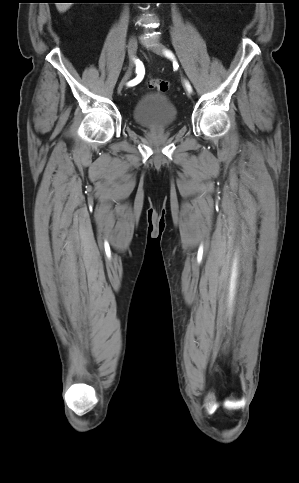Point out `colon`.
I'll list each match as a JSON object with an SVG mask.
<instances>
[{"label": "colon", "mask_w": 299, "mask_h": 483, "mask_svg": "<svg viewBox=\"0 0 299 483\" xmlns=\"http://www.w3.org/2000/svg\"><path fill=\"white\" fill-rule=\"evenodd\" d=\"M148 86L159 92H166L169 89V83L166 80L152 78L147 82Z\"/></svg>", "instance_id": "5ec220e1"}]
</instances>
